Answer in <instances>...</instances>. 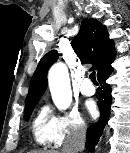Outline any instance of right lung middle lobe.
I'll return each instance as SVG.
<instances>
[{"label":"right lung middle lobe","mask_w":130,"mask_h":153,"mask_svg":"<svg viewBox=\"0 0 130 153\" xmlns=\"http://www.w3.org/2000/svg\"><path fill=\"white\" fill-rule=\"evenodd\" d=\"M35 105H36V103H32L30 105L25 106V115H24V117H25L26 120L29 119V117H30V115L32 113V110L34 109Z\"/></svg>","instance_id":"obj_1"}]
</instances>
